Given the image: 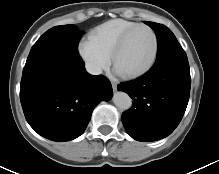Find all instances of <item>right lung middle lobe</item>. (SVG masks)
<instances>
[{"label": "right lung middle lobe", "instance_id": "dd1d6c3e", "mask_svg": "<svg viewBox=\"0 0 219 174\" xmlns=\"http://www.w3.org/2000/svg\"><path fill=\"white\" fill-rule=\"evenodd\" d=\"M83 32L74 25L56 26L46 31L33 45L25 67L58 52H78L77 46Z\"/></svg>", "mask_w": 219, "mask_h": 174}]
</instances>
